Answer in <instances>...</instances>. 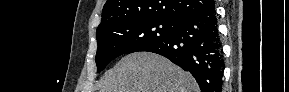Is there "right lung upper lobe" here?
<instances>
[{
    "instance_id": "1",
    "label": "right lung upper lobe",
    "mask_w": 289,
    "mask_h": 92,
    "mask_svg": "<svg viewBox=\"0 0 289 92\" xmlns=\"http://www.w3.org/2000/svg\"><path fill=\"white\" fill-rule=\"evenodd\" d=\"M213 5V0H107L97 31L134 19L158 18L176 22Z\"/></svg>"
}]
</instances>
